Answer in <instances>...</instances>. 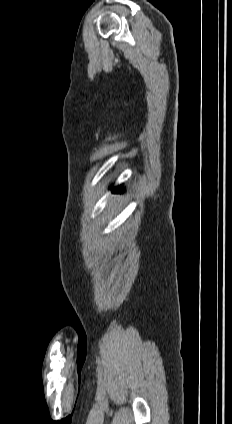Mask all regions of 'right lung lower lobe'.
<instances>
[{"instance_id": "1", "label": "right lung lower lobe", "mask_w": 232, "mask_h": 424, "mask_svg": "<svg viewBox=\"0 0 232 424\" xmlns=\"http://www.w3.org/2000/svg\"><path fill=\"white\" fill-rule=\"evenodd\" d=\"M114 191H115V192H121V191H122V187H116V188L114 189Z\"/></svg>"}]
</instances>
